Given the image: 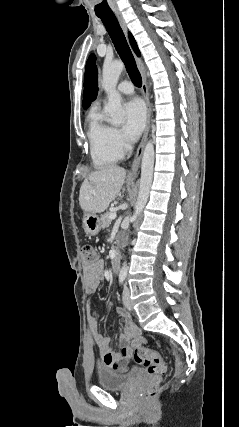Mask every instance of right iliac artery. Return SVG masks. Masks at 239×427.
Returning a JSON list of instances; mask_svg holds the SVG:
<instances>
[{
    "label": "right iliac artery",
    "mask_w": 239,
    "mask_h": 427,
    "mask_svg": "<svg viewBox=\"0 0 239 427\" xmlns=\"http://www.w3.org/2000/svg\"><path fill=\"white\" fill-rule=\"evenodd\" d=\"M124 279H125V277H124V276H121V277L119 278V281H120V283H121V284H123Z\"/></svg>",
    "instance_id": "right-iliac-artery-1"
}]
</instances>
